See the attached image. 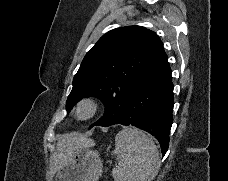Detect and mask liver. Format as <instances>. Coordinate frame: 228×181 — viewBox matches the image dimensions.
Here are the masks:
<instances>
[{"mask_svg": "<svg viewBox=\"0 0 228 181\" xmlns=\"http://www.w3.org/2000/svg\"><path fill=\"white\" fill-rule=\"evenodd\" d=\"M93 145L94 141L92 139H88L85 135H79V133L62 135L57 143V155L52 159L50 167L52 175L69 163L75 149H79V147H93Z\"/></svg>", "mask_w": 228, "mask_h": 181, "instance_id": "6515ba94", "label": "liver"}]
</instances>
